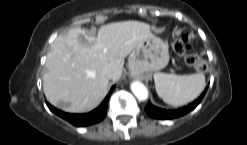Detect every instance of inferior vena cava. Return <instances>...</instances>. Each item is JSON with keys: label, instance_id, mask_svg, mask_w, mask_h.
Instances as JSON below:
<instances>
[{"label": "inferior vena cava", "instance_id": "obj_1", "mask_svg": "<svg viewBox=\"0 0 247 145\" xmlns=\"http://www.w3.org/2000/svg\"><path fill=\"white\" fill-rule=\"evenodd\" d=\"M102 75L107 79H111L112 78V72H111V70L109 68H103Z\"/></svg>", "mask_w": 247, "mask_h": 145}]
</instances>
